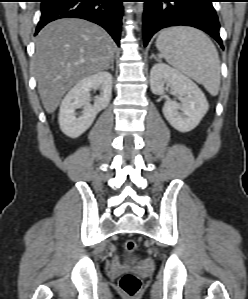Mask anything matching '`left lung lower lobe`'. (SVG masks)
Wrapping results in <instances>:
<instances>
[{
	"instance_id": "0a47b994",
	"label": "left lung lower lobe",
	"mask_w": 248,
	"mask_h": 299,
	"mask_svg": "<svg viewBox=\"0 0 248 299\" xmlns=\"http://www.w3.org/2000/svg\"><path fill=\"white\" fill-rule=\"evenodd\" d=\"M144 46L160 29L170 26H192L211 35L223 48L219 21L212 6L214 0H141Z\"/></svg>"
}]
</instances>
